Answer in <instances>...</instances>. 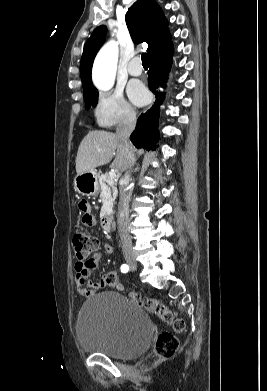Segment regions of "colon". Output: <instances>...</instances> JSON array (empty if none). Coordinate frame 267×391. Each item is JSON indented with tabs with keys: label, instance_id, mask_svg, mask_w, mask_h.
Returning <instances> with one entry per match:
<instances>
[{
	"label": "colon",
	"instance_id": "colon-1",
	"mask_svg": "<svg viewBox=\"0 0 267 391\" xmlns=\"http://www.w3.org/2000/svg\"><path fill=\"white\" fill-rule=\"evenodd\" d=\"M99 241L96 236L85 231L76 233L73 237L74 254L79 264H90L93 261V254L98 249ZM109 286L121 288L114 273L108 275ZM131 299L138 305L156 315L161 321L172 326L175 332L180 333L185 329V323L177 318L172 310L156 299L142 298L136 293L130 295ZM179 347L178 338L171 332H161L155 342L154 353L159 359L172 357Z\"/></svg>",
	"mask_w": 267,
	"mask_h": 391
}]
</instances>
